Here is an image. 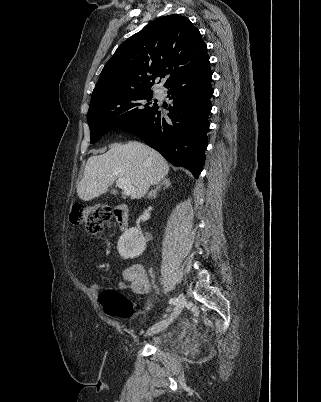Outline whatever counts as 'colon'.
I'll list each match as a JSON object with an SVG mask.
<instances>
[{
	"label": "colon",
	"instance_id": "colon-1",
	"mask_svg": "<svg viewBox=\"0 0 321 402\" xmlns=\"http://www.w3.org/2000/svg\"><path fill=\"white\" fill-rule=\"evenodd\" d=\"M112 220V210L104 205L76 204L71 208L69 221L83 225L90 235H100ZM100 304L105 314L112 318L129 319L133 314L130 300L120 291L106 289L100 294Z\"/></svg>",
	"mask_w": 321,
	"mask_h": 402
}]
</instances>
